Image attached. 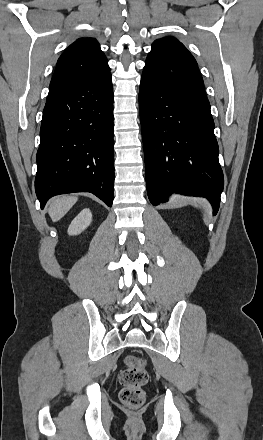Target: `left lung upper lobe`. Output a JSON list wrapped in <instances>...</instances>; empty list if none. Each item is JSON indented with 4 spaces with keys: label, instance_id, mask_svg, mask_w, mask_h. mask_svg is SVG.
<instances>
[{
    "label": "left lung upper lobe",
    "instance_id": "1",
    "mask_svg": "<svg viewBox=\"0 0 263 440\" xmlns=\"http://www.w3.org/2000/svg\"><path fill=\"white\" fill-rule=\"evenodd\" d=\"M171 44L180 48L186 55H188L192 60L196 62V60L191 55V53L186 49V47L174 37H165L154 41V43L152 44V49L148 54L146 61H155L159 57V55L162 54L164 49Z\"/></svg>",
    "mask_w": 263,
    "mask_h": 440
}]
</instances>
